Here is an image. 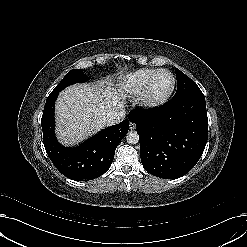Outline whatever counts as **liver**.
Listing matches in <instances>:
<instances>
[{"label":"liver","instance_id":"6515ba94","mask_svg":"<svg viewBox=\"0 0 247 247\" xmlns=\"http://www.w3.org/2000/svg\"><path fill=\"white\" fill-rule=\"evenodd\" d=\"M126 95L111 80L74 84L60 92L55 105L56 134L66 146L106 126L108 114L124 110Z\"/></svg>","mask_w":247,"mask_h":247}]
</instances>
